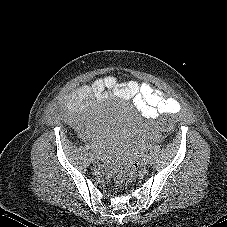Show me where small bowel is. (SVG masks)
<instances>
[{"label":"small bowel","mask_w":227,"mask_h":227,"mask_svg":"<svg viewBox=\"0 0 227 227\" xmlns=\"http://www.w3.org/2000/svg\"><path fill=\"white\" fill-rule=\"evenodd\" d=\"M134 99L142 108L145 115L156 119L165 114H177L181 109L180 102L167 97L161 90L153 88L149 83L137 81L119 82L115 76L107 75L95 79L90 84H83L66 96L64 106L66 115L77 128L84 139H88L87 112L92 104L109 97ZM98 138L89 140L96 151L104 148Z\"/></svg>","instance_id":"c3829d8e"}]
</instances>
